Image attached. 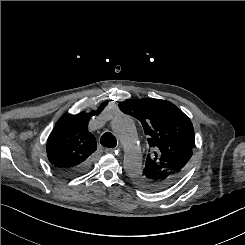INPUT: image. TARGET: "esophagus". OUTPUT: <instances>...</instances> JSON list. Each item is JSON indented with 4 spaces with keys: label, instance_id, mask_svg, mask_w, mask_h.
I'll return each instance as SVG.
<instances>
[{
    "label": "esophagus",
    "instance_id": "obj_1",
    "mask_svg": "<svg viewBox=\"0 0 245 245\" xmlns=\"http://www.w3.org/2000/svg\"><path fill=\"white\" fill-rule=\"evenodd\" d=\"M104 151H105V153L110 154V153H114L115 149L114 148H106Z\"/></svg>",
    "mask_w": 245,
    "mask_h": 245
}]
</instances>
